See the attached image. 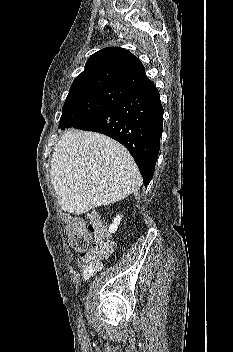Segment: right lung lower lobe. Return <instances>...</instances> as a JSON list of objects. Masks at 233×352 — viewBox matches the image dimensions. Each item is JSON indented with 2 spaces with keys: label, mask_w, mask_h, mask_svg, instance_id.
I'll use <instances>...</instances> for the list:
<instances>
[{
  "label": "right lung lower lobe",
  "mask_w": 233,
  "mask_h": 352,
  "mask_svg": "<svg viewBox=\"0 0 233 352\" xmlns=\"http://www.w3.org/2000/svg\"><path fill=\"white\" fill-rule=\"evenodd\" d=\"M105 134L133 156L145 187L153 177L163 131V107L153 84L74 127Z\"/></svg>",
  "instance_id": "obj_1"
}]
</instances>
